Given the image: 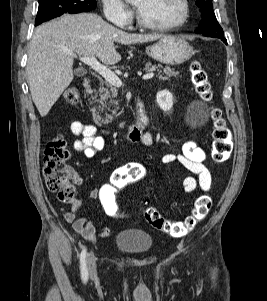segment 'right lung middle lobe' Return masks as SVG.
<instances>
[{
    "label": "right lung middle lobe",
    "mask_w": 267,
    "mask_h": 301,
    "mask_svg": "<svg viewBox=\"0 0 267 301\" xmlns=\"http://www.w3.org/2000/svg\"><path fill=\"white\" fill-rule=\"evenodd\" d=\"M39 8L35 24L58 17L64 13L89 12L96 8L95 0H38Z\"/></svg>",
    "instance_id": "obj_1"
}]
</instances>
